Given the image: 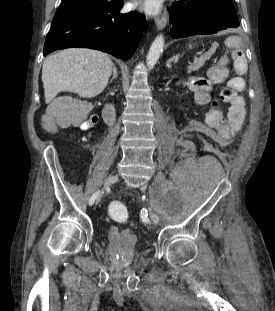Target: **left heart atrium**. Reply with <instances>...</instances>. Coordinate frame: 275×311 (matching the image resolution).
I'll list each match as a JSON object with an SVG mask.
<instances>
[{
  "instance_id": "left-heart-atrium-1",
  "label": "left heart atrium",
  "mask_w": 275,
  "mask_h": 311,
  "mask_svg": "<svg viewBox=\"0 0 275 311\" xmlns=\"http://www.w3.org/2000/svg\"><path fill=\"white\" fill-rule=\"evenodd\" d=\"M161 0H142L139 3L141 9L148 13H156L159 11Z\"/></svg>"
}]
</instances>
